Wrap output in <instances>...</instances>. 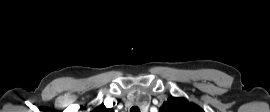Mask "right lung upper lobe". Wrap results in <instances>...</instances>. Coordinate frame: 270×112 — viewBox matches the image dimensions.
Instances as JSON below:
<instances>
[{
	"instance_id": "1",
	"label": "right lung upper lobe",
	"mask_w": 270,
	"mask_h": 112,
	"mask_svg": "<svg viewBox=\"0 0 270 112\" xmlns=\"http://www.w3.org/2000/svg\"><path fill=\"white\" fill-rule=\"evenodd\" d=\"M91 112H114L113 109H107L105 106L102 104L100 107L96 108L95 110Z\"/></svg>"
}]
</instances>
